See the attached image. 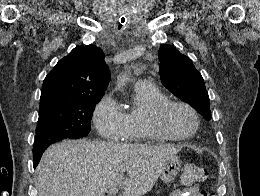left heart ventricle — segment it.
<instances>
[{
    "label": "left heart ventricle",
    "mask_w": 260,
    "mask_h": 196,
    "mask_svg": "<svg viewBox=\"0 0 260 196\" xmlns=\"http://www.w3.org/2000/svg\"><path fill=\"white\" fill-rule=\"evenodd\" d=\"M194 118L182 107L169 108L161 118V126L172 135H184L194 127Z\"/></svg>",
    "instance_id": "b2bd125f"
}]
</instances>
